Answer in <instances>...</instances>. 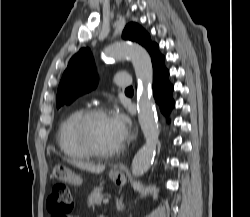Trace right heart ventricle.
Masks as SVG:
<instances>
[{
	"mask_svg": "<svg viewBox=\"0 0 250 217\" xmlns=\"http://www.w3.org/2000/svg\"><path fill=\"white\" fill-rule=\"evenodd\" d=\"M85 112L81 107L75 108L61 121L57 142L60 150L73 159H86L91 155L80 145L75 134V125L79 117Z\"/></svg>",
	"mask_w": 250,
	"mask_h": 217,
	"instance_id": "e07e8e85",
	"label": "right heart ventricle"
}]
</instances>
